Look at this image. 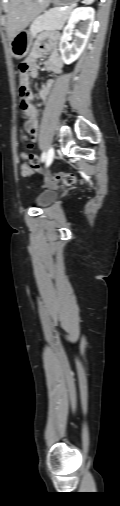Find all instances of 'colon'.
<instances>
[{
  "label": "colon",
  "mask_w": 120,
  "mask_h": 506,
  "mask_svg": "<svg viewBox=\"0 0 120 506\" xmlns=\"http://www.w3.org/2000/svg\"><path fill=\"white\" fill-rule=\"evenodd\" d=\"M28 70V66L26 63L22 62L19 65V73H24ZM20 97L22 98L21 107L24 98L27 97L28 92L25 88L20 87L19 89ZM23 139L27 140L28 137L26 135H23ZM22 157L24 158L25 162L21 166V175L23 177H29L31 175L40 173V167H39V161L38 158L34 155H28L23 154ZM76 182V177L72 173H55L51 175L47 179V184L50 186L57 185L59 183H63L65 185H73Z\"/></svg>",
  "instance_id": "1"
}]
</instances>
